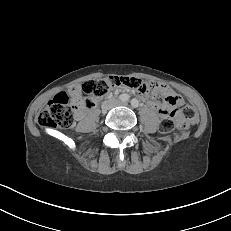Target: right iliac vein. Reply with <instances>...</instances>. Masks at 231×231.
<instances>
[{"label":"right iliac vein","instance_id":"obj_1","mask_svg":"<svg viewBox=\"0 0 231 231\" xmlns=\"http://www.w3.org/2000/svg\"><path fill=\"white\" fill-rule=\"evenodd\" d=\"M111 106H115V103H112V105Z\"/></svg>","mask_w":231,"mask_h":231}]
</instances>
